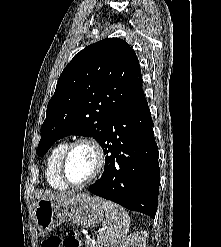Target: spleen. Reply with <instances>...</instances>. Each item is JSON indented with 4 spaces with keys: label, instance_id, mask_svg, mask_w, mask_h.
Segmentation results:
<instances>
[{
    "label": "spleen",
    "instance_id": "spleen-1",
    "mask_svg": "<svg viewBox=\"0 0 221 247\" xmlns=\"http://www.w3.org/2000/svg\"><path fill=\"white\" fill-rule=\"evenodd\" d=\"M106 229L99 235V247L113 246L124 240L129 232L130 217L121 206L106 201L103 205Z\"/></svg>",
    "mask_w": 221,
    "mask_h": 247
}]
</instances>
